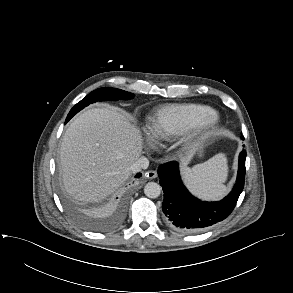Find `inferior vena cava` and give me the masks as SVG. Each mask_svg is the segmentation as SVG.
Segmentation results:
<instances>
[{"label": "inferior vena cava", "instance_id": "obj_1", "mask_svg": "<svg viewBox=\"0 0 293 293\" xmlns=\"http://www.w3.org/2000/svg\"><path fill=\"white\" fill-rule=\"evenodd\" d=\"M148 166L149 160L146 157L141 156L130 166V170L133 173H137L140 172L142 169H147Z\"/></svg>", "mask_w": 293, "mask_h": 293}]
</instances>
